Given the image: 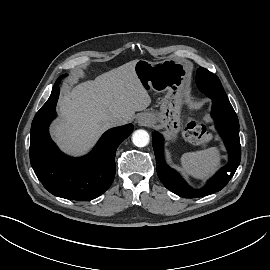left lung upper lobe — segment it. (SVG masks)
<instances>
[{
    "instance_id": "1",
    "label": "left lung upper lobe",
    "mask_w": 270,
    "mask_h": 270,
    "mask_svg": "<svg viewBox=\"0 0 270 270\" xmlns=\"http://www.w3.org/2000/svg\"><path fill=\"white\" fill-rule=\"evenodd\" d=\"M196 82L199 89L211 99L229 101L219 78L205 68L197 70Z\"/></svg>"
}]
</instances>
